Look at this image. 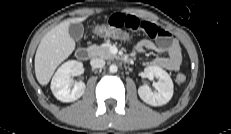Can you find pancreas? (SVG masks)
I'll list each match as a JSON object with an SVG mask.
<instances>
[{"label":"pancreas","instance_id":"pancreas-1","mask_svg":"<svg viewBox=\"0 0 231 134\" xmlns=\"http://www.w3.org/2000/svg\"><path fill=\"white\" fill-rule=\"evenodd\" d=\"M89 52L94 57H100L104 59H114L117 56L110 53L108 45H92L89 47Z\"/></svg>","mask_w":231,"mask_h":134}]
</instances>
